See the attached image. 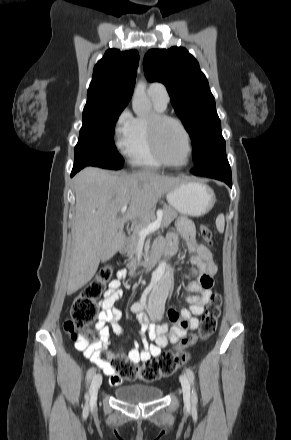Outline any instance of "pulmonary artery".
Segmentation results:
<instances>
[{"mask_svg":"<svg viewBox=\"0 0 291 440\" xmlns=\"http://www.w3.org/2000/svg\"><path fill=\"white\" fill-rule=\"evenodd\" d=\"M148 95L162 106H167L169 102L168 91L165 85L161 82L150 83L148 86Z\"/></svg>","mask_w":291,"mask_h":440,"instance_id":"1","label":"pulmonary artery"}]
</instances>
